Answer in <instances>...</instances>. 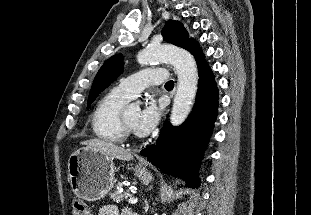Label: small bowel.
<instances>
[{"label":"small bowel","instance_id":"small-bowel-1","mask_svg":"<svg viewBox=\"0 0 311 215\" xmlns=\"http://www.w3.org/2000/svg\"><path fill=\"white\" fill-rule=\"evenodd\" d=\"M98 215H118V209L115 205H107L99 210ZM122 215H131V213L126 210Z\"/></svg>","mask_w":311,"mask_h":215}]
</instances>
